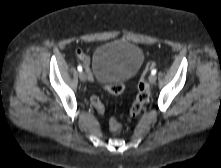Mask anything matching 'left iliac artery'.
<instances>
[{
	"label": "left iliac artery",
	"mask_w": 221,
	"mask_h": 168,
	"mask_svg": "<svg viewBox=\"0 0 221 168\" xmlns=\"http://www.w3.org/2000/svg\"><path fill=\"white\" fill-rule=\"evenodd\" d=\"M157 73V70L156 69H153L152 71H151V74L152 75H155Z\"/></svg>",
	"instance_id": "left-iliac-artery-1"
}]
</instances>
